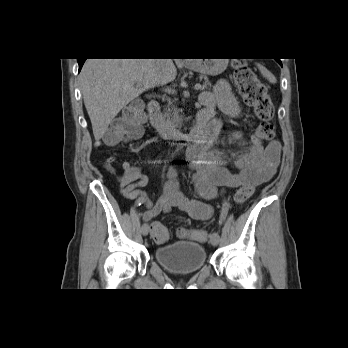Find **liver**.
Returning <instances> with one entry per match:
<instances>
[{
    "instance_id": "liver-1",
    "label": "liver",
    "mask_w": 348,
    "mask_h": 348,
    "mask_svg": "<svg viewBox=\"0 0 348 348\" xmlns=\"http://www.w3.org/2000/svg\"><path fill=\"white\" fill-rule=\"evenodd\" d=\"M177 69L168 59H87L80 85L94 138L100 140L111 121L143 92L172 82Z\"/></svg>"
}]
</instances>
